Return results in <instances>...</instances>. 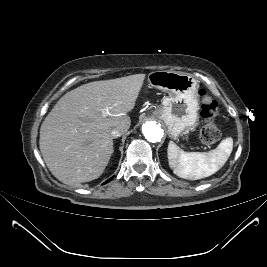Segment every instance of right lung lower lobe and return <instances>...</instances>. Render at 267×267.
<instances>
[{"label":"right lung lower lobe","instance_id":"1","mask_svg":"<svg viewBox=\"0 0 267 267\" xmlns=\"http://www.w3.org/2000/svg\"><path fill=\"white\" fill-rule=\"evenodd\" d=\"M113 177H111L110 179H108L105 183L109 182L110 180H112Z\"/></svg>","mask_w":267,"mask_h":267}]
</instances>
